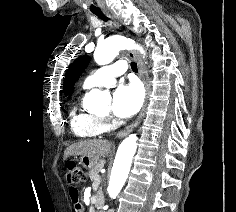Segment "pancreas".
<instances>
[{
	"label": "pancreas",
	"instance_id": "cf45deb5",
	"mask_svg": "<svg viewBox=\"0 0 236 212\" xmlns=\"http://www.w3.org/2000/svg\"><path fill=\"white\" fill-rule=\"evenodd\" d=\"M101 167H102V165L98 164L92 170H90L89 177H90L91 181L96 182V179L99 177V171H100ZM99 195H101V192H99Z\"/></svg>",
	"mask_w": 236,
	"mask_h": 212
}]
</instances>
